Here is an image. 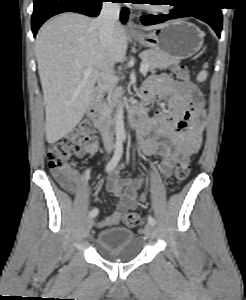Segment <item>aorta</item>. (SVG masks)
I'll return each mask as SVG.
<instances>
[{
    "label": "aorta",
    "instance_id": "aorta-1",
    "mask_svg": "<svg viewBox=\"0 0 246 300\" xmlns=\"http://www.w3.org/2000/svg\"><path fill=\"white\" fill-rule=\"evenodd\" d=\"M125 101V98L123 99ZM124 101L120 102L115 113V134L118 139H125V127H124Z\"/></svg>",
    "mask_w": 246,
    "mask_h": 300
}]
</instances>
